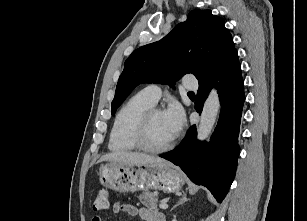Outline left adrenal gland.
<instances>
[{"instance_id":"obj_1","label":"left adrenal gland","mask_w":307,"mask_h":221,"mask_svg":"<svg viewBox=\"0 0 307 221\" xmlns=\"http://www.w3.org/2000/svg\"><path fill=\"white\" fill-rule=\"evenodd\" d=\"M189 199L186 197V194H183L181 199L179 200V202L177 204H175L172 208L171 211L174 210L176 207H178L179 205L183 204L184 202H187Z\"/></svg>"}]
</instances>
